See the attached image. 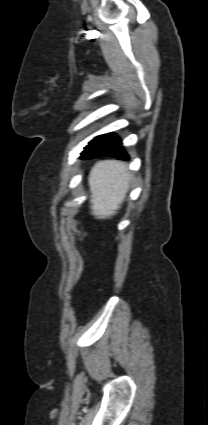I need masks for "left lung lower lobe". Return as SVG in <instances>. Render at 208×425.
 Returning a JSON list of instances; mask_svg holds the SVG:
<instances>
[{"mask_svg": "<svg viewBox=\"0 0 208 425\" xmlns=\"http://www.w3.org/2000/svg\"><path fill=\"white\" fill-rule=\"evenodd\" d=\"M84 149L81 153L83 159L112 156L120 160H129L128 154L123 151L121 141L113 133L95 137Z\"/></svg>", "mask_w": 208, "mask_h": 425, "instance_id": "left-lung-lower-lobe-1", "label": "left lung lower lobe"}]
</instances>
